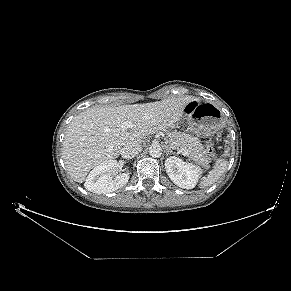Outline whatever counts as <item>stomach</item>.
Instances as JSON below:
<instances>
[{"mask_svg": "<svg viewBox=\"0 0 291 291\" xmlns=\"http://www.w3.org/2000/svg\"><path fill=\"white\" fill-rule=\"evenodd\" d=\"M191 131L203 138L212 137L224 126L223 116L217 106L210 102L198 103L186 116Z\"/></svg>", "mask_w": 291, "mask_h": 291, "instance_id": "0dacf381", "label": "stomach"}]
</instances>
